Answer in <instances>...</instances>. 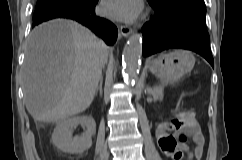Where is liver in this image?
Instances as JSON below:
<instances>
[{
  "label": "liver",
  "instance_id": "obj_1",
  "mask_svg": "<svg viewBox=\"0 0 242 160\" xmlns=\"http://www.w3.org/2000/svg\"><path fill=\"white\" fill-rule=\"evenodd\" d=\"M108 46L70 20L35 28L23 65L24 100L35 121L55 123L85 111L92 103Z\"/></svg>",
  "mask_w": 242,
  "mask_h": 160
}]
</instances>
